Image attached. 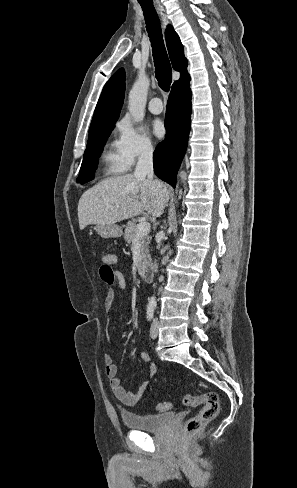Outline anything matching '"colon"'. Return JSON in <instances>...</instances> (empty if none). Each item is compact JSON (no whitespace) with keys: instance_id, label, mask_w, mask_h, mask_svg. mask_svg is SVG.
Returning a JSON list of instances; mask_svg holds the SVG:
<instances>
[{"instance_id":"obj_1","label":"colon","mask_w":297,"mask_h":488,"mask_svg":"<svg viewBox=\"0 0 297 488\" xmlns=\"http://www.w3.org/2000/svg\"><path fill=\"white\" fill-rule=\"evenodd\" d=\"M111 258L105 254L102 257V265L99 269L101 279L106 284L114 281L113 268L110 265ZM183 404L187 406L202 405V409L193 417L187 420L184 431L186 434H193L201 431L209 422L216 418L220 409L219 397L215 392H206L200 395H185ZM172 407L169 402H162L156 406L157 411L164 412Z\"/></svg>"}]
</instances>
